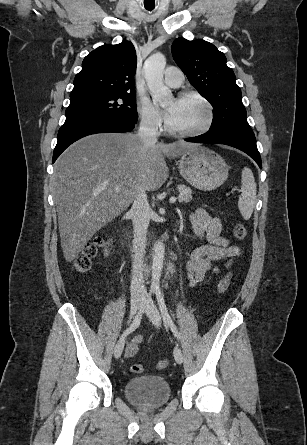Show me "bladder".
I'll return each instance as SVG.
<instances>
[{
	"instance_id": "31cf9c89",
	"label": "bladder",
	"mask_w": 307,
	"mask_h": 445,
	"mask_svg": "<svg viewBox=\"0 0 307 445\" xmlns=\"http://www.w3.org/2000/svg\"><path fill=\"white\" fill-rule=\"evenodd\" d=\"M123 390L130 403L148 410L164 406L171 397L169 383L158 375L131 378L125 383Z\"/></svg>"
}]
</instances>
